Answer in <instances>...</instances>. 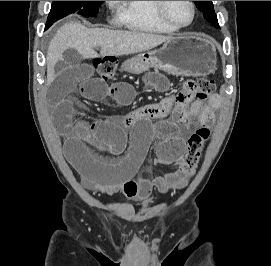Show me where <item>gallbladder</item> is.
Returning <instances> with one entry per match:
<instances>
[{"label":"gallbladder","instance_id":"gallbladder-1","mask_svg":"<svg viewBox=\"0 0 271 266\" xmlns=\"http://www.w3.org/2000/svg\"><path fill=\"white\" fill-rule=\"evenodd\" d=\"M82 58L78 52L73 48H68L63 53V60H60L55 65V72L58 75H62L69 67L78 65L81 63Z\"/></svg>","mask_w":271,"mask_h":266}]
</instances>
